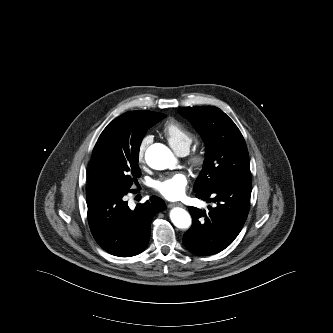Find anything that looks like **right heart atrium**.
Wrapping results in <instances>:
<instances>
[{"mask_svg": "<svg viewBox=\"0 0 333 333\" xmlns=\"http://www.w3.org/2000/svg\"><path fill=\"white\" fill-rule=\"evenodd\" d=\"M151 141H152V136L146 135L139 142L138 150H137V157H138L139 162H144L145 152L147 150V147L151 143Z\"/></svg>", "mask_w": 333, "mask_h": 333, "instance_id": "right-heart-atrium-1", "label": "right heart atrium"}]
</instances>
